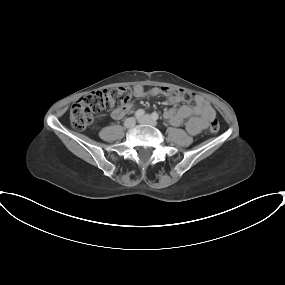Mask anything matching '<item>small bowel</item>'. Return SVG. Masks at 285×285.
<instances>
[{"label":"small bowel","mask_w":285,"mask_h":285,"mask_svg":"<svg viewBox=\"0 0 285 285\" xmlns=\"http://www.w3.org/2000/svg\"><path fill=\"white\" fill-rule=\"evenodd\" d=\"M161 94L166 95L169 103L173 105L182 102L180 95L164 93L160 87H153L148 91L142 85H135L133 87V96L136 98L158 96ZM131 107V103H126L114 108L111 111V117L113 119H121ZM164 117L174 126H180L187 120V131L192 135H196L204 130L209 122L215 119L216 113L211 104L203 96L197 95L195 105H181L177 108H171L164 113Z\"/></svg>","instance_id":"c3829d8e"}]
</instances>
